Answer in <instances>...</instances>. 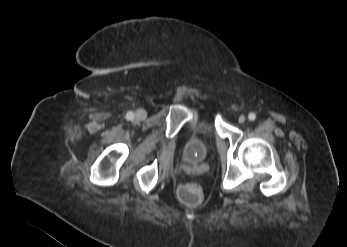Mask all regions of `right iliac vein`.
<instances>
[{
  "label": "right iliac vein",
  "instance_id": "obj_1",
  "mask_svg": "<svg viewBox=\"0 0 347 247\" xmlns=\"http://www.w3.org/2000/svg\"><path fill=\"white\" fill-rule=\"evenodd\" d=\"M134 116L136 120H143L146 118L147 112L144 109H139L136 111Z\"/></svg>",
  "mask_w": 347,
  "mask_h": 247
}]
</instances>
